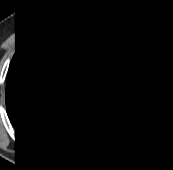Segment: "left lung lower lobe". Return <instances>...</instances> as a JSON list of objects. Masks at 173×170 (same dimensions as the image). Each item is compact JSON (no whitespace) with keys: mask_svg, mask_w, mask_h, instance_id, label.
<instances>
[{"mask_svg":"<svg viewBox=\"0 0 173 170\" xmlns=\"http://www.w3.org/2000/svg\"><path fill=\"white\" fill-rule=\"evenodd\" d=\"M126 128L113 119L112 127L104 134L106 144L118 154L128 158L142 157L153 151L168 131L169 123L150 114L121 113Z\"/></svg>","mask_w":173,"mask_h":170,"instance_id":"obj_1","label":"left lung lower lobe"}]
</instances>
